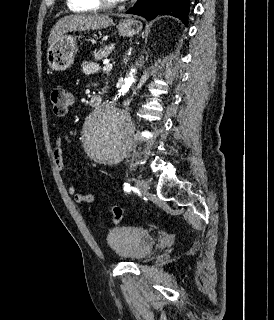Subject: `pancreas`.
Here are the masks:
<instances>
[{"instance_id": "obj_1", "label": "pancreas", "mask_w": 274, "mask_h": 320, "mask_svg": "<svg viewBox=\"0 0 274 320\" xmlns=\"http://www.w3.org/2000/svg\"><path fill=\"white\" fill-rule=\"evenodd\" d=\"M114 46H102V48H98V50H95L93 52V56L97 62V60H107L109 54H111Z\"/></svg>"}]
</instances>
